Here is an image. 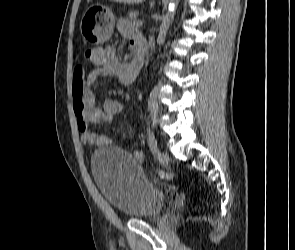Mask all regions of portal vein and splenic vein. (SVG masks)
Here are the masks:
<instances>
[{
	"label": "portal vein and splenic vein",
	"instance_id": "portal-vein-and-splenic-vein-1",
	"mask_svg": "<svg viewBox=\"0 0 295 250\" xmlns=\"http://www.w3.org/2000/svg\"><path fill=\"white\" fill-rule=\"evenodd\" d=\"M136 25H137V26H142V25H143V21H142V20L137 21V22H136Z\"/></svg>",
	"mask_w": 295,
	"mask_h": 250
}]
</instances>
